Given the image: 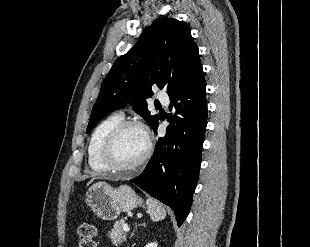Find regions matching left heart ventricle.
Listing matches in <instances>:
<instances>
[{
	"label": "left heart ventricle",
	"instance_id": "1",
	"mask_svg": "<svg viewBox=\"0 0 310 247\" xmlns=\"http://www.w3.org/2000/svg\"><path fill=\"white\" fill-rule=\"evenodd\" d=\"M146 149V137L138 128H127L117 138L113 148V160L119 166L134 164Z\"/></svg>",
	"mask_w": 310,
	"mask_h": 247
}]
</instances>
